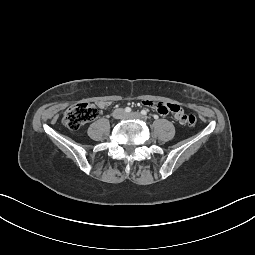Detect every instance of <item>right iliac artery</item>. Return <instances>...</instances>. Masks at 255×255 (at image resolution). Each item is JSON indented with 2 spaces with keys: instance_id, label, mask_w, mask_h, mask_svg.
<instances>
[{
  "instance_id": "1",
  "label": "right iliac artery",
  "mask_w": 255,
  "mask_h": 255,
  "mask_svg": "<svg viewBox=\"0 0 255 255\" xmlns=\"http://www.w3.org/2000/svg\"><path fill=\"white\" fill-rule=\"evenodd\" d=\"M124 111H125L126 113H130V112H131V108H130V107H126V108L124 109Z\"/></svg>"
}]
</instances>
